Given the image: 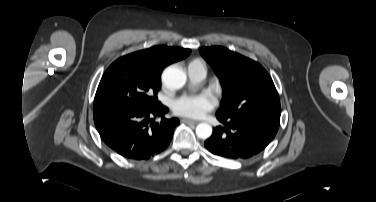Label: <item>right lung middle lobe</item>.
Instances as JSON below:
<instances>
[{
    "mask_svg": "<svg viewBox=\"0 0 376 202\" xmlns=\"http://www.w3.org/2000/svg\"><path fill=\"white\" fill-rule=\"evenodd\" d=\"M160 76L126 55L116 60L104 73L98 86L93 111L111 106L150 108L160 103L157 93Z\"/></svg>",
    "mask_w": 376,
    "mask_h": 202,
    "instance_id": "1",
    "label": "right lung middle lobe"
}]
</instances>
